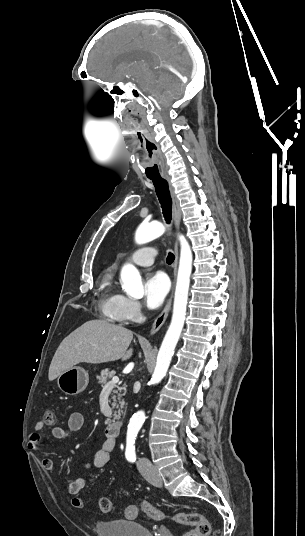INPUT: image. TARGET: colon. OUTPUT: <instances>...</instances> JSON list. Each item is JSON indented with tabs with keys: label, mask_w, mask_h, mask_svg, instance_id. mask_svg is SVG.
<instances>
[{
	"label": "colon",
	"mask_w": 305,
	"mask_h": 536,
	"mask_svg": "<svg viewBox=\"0 0 305 536\" xmlns=\"http://www.w3.org/2000/svg\"><path fill=\"white\" fill-rule=\"evenodd\" d=\"M54 420V414H47L45 422L52 424ZM74 509L79 512L85 513L87 503L82 502V498L76 495L71 500ZM100 511L103 513H111L113 511V502L109 498H102L99 501ZM139 510H141L146 516L154 520H170L177 524L191 525L192 530L186 534V536H210L211 525L208 519L202 515L196 513H176L173 515L166 514L160 509L156 508L150 502L141 500L138 504H131L122 510V515L126 519H132L136 517Z\"/></svg>",
	"instance_id": "5ec220e1"
}]
</instances>
